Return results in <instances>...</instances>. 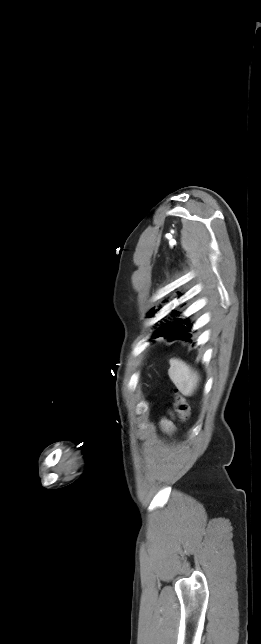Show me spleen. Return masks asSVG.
Masks as SVG:
<instances>
[{
	"instance_id": "spleen-1",
	"label": "spleen",
	"mask_w": 261,
	"mask_h": 644,
	"mask_svg": "<svg viewBox=\"0 0 261 644\" xmlns=\"http://www.w3.org/2000/svg\"><path fill=\"white\" fill-rule=\"evenodd\" d=\"M168 375L178 390L185 396H191L199 381L198 373L179 359L169 361Z\"/></svg>"
}]
</instances>
